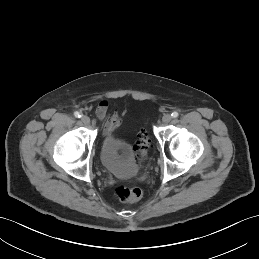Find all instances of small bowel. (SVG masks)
I'll return each mask as SVG.
<instances>
[{"label":"small bowel","instance_id":"obj_1","mask_svg":"<svg viewBox=\"0 0 259 259\" xmlns=\"http://www.w3.org/2000/svg\"><path fill=\"white\" fill-rule=\"evenodd\" d=\"M109 104L106 100H101L96 109L97 118L103 123V133L107 136L112 135L120 124L119 113L109 114Z\"/></svg>","mask_w":259,"mask_h":259}]
</instances>
